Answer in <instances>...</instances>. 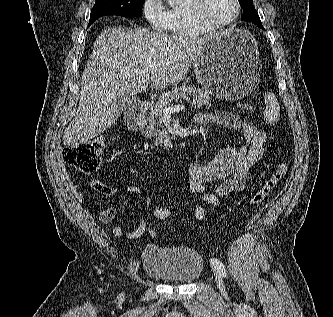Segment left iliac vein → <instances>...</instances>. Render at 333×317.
Segmentation results:
<instances>
[{
    "mask_svg": "<svg viewBox=\"0 0 333 317\" xmlns=\"http://www.w3.org/2000/svg\"><path fill=\"white\" fill-rule=\"evenodd\" d=\"M213 271H214V276H215V282L220 290V292L226 296L227 293H226V289H225V285H224V281H223V277L222 275L220 274V272L218 270H216L215 268H213Z\"/></svg>",
    "mask_w": 333,
    "mask_h": 317,
    "instance_id": "4c4485c4",
    "label": "left iliac vein"
}]
</instances>
